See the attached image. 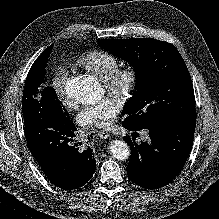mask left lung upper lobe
<instances>
[{"label":"left lung upper lobe","instance_id":"left-lung-upper-lobe-1","mask_svg":"<svg viewBox=\"0 0 219 219\" xmlns=\"http://www.w3.org/2000/svg\"><path fill=\"white\" fill-rule=\"evenodd\" d=\"M98 43L130 62L136 71L137 90L124 108L125 123L141 130L196 121L191 77L172 44L153 38L104 39Z\"/></svg>","mask_w":219,"mask_h":219}]
</instances>
